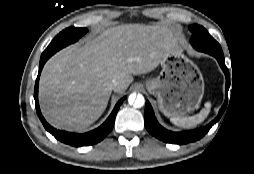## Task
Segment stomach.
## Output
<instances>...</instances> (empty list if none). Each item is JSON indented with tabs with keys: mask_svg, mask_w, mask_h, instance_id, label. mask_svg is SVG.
I'll return each instance as SVG.
<instances>
[{
	"mask_svg": "<svg viewBox=\"0 0 254 174\" xmlns=\"http://www.w3.org/2000/svg\"><path fill=\"white\" fill-rule=\"evenodd\" d=\"M161 72L145 81V88L155 96L161 112L177 117L196 109L204 95V80L199 68L178 48L166 51Z\"/></svg>",
	"mask_w": 254,
	"mask_h": 174,
	"instance_id": "obj_1",
	"label": "stomach"
}]
</instances>
